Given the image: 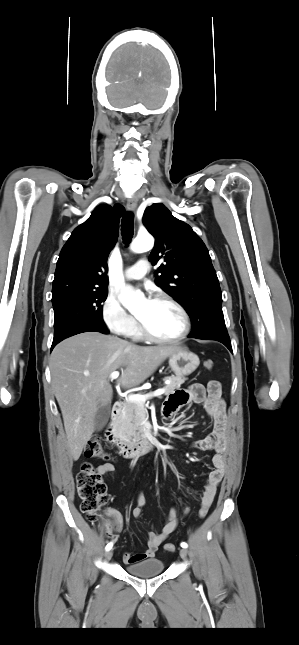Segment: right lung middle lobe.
I'll use <instances>...</instances> for the list:
<instances>
[{
  "label": "right lung middle lobe",
  "instance_id": "1",
  "mask_svg": "<svg viewBox=\"0 0 299 645\" xmlns=\"http://www.w3.org/2000/svg\"><path fill=\"white\" fill-rule=\"evenodd\" d=\"M107 294V289L65 291L53 297L54 339L84 325L106 328L102 318V302Z\"/></svg>",
  "mask_w": 299,
  "mask_h": 645
}]
</instances>
